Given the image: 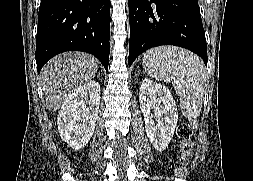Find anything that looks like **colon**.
I'll return each mask as SVG.
<instances>
[{"label": "colon", "instance_id": "5ec220e1", "mask_svg": "<svg viewBox=\"0 0 253 181\" xmlns=\"http://www.w3.org/2000/svg\"><path fill=\"white\" fill-rule=\"evenodd\" d=\"M177 135L182 139L181 152L184 157H188L191 154L193 145L190 141L191 129L186 124H181L177 128Z\"/></svg>", "mask_w": 253, "mask_h": 181}]
</instances>
